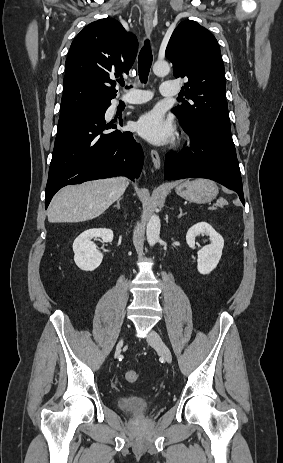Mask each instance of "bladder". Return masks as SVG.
Wrapping results in <instances>:
<instances>
[{"mask_svg":"<svg viewBox=\"0 0 283 463\" xmlns=\"http://www.w3.org/2000/svg\"><path fill=\"white\" fill-rule=\"evenodd\" d=\"M117 403L118 407L123 412L132 415H144L149 412L154 405L151 398L136 395L120 396Z\"/></svg>","mask_w":283,"mask_h":463,"instance_id":"1","label":"bladder"}]
</instances>
